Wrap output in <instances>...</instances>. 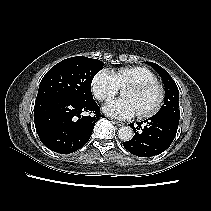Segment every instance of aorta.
<instances>
[{"instance_id":"762f6f07","label":"aorta","mask_w":211,"mask_h":211,"mask_svg":"<svg viewBox=\"0 0 211 211\" xmlns=\"http://www.w3.org/2000/svg\"><path fill=\"white\" fill-rule=\"evenodd\" d=\"M133 130L129 126H122L118 130L119 139L122 141H130L133 138Z\"/></svg>"}]
</instances>
